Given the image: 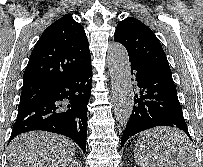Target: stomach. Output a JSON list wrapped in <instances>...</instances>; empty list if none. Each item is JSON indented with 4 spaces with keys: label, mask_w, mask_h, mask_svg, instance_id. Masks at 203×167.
<instances>
[{
    "label": "stomach",
    "mask_w": 203,
    "mask_h": 167,
    "mask_svg": "<svg viewBox=\"0 0 203 167\" xmlns=\"http://www.w3.org/2000/svg\"><path fill=\"white\" fill-rule=\"evenodd\" d=\"M147 154H148V149H147L146 146H145L144 155L147 156Z\"/></svg>",
    "instance_id": "stomach-1"
}]
</instances>
